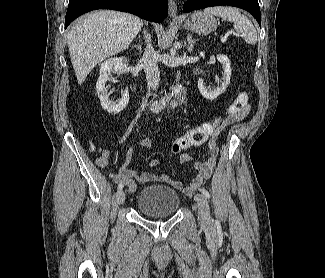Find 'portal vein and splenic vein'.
I'll use <instances>...</instances> for the list:
<instances>
[{
	"instance_id": "18ae733b",
	"label": "portal vein and splenic vein",
	"mask_w": 325,
	"mask_h": 278,
	"mask_svg": "<svg viewBox=\"0 0 325 278\" xmlns=\"http://www.w3.org/2000/svg\"><path fill=\"white\" fill-rule=\"evenodd\" d=\"M226 40H227V36L226 35H224L223 37H221V42L222 43L226 42Z\"/></svg>"
}]
</instances>
